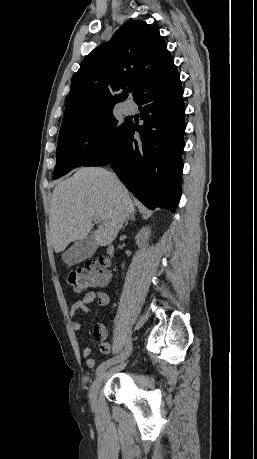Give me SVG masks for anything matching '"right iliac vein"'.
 Returning <instances> with one entry per match:
<instances>
[{
    "label": "right iliac vein",
    "mask_w": 257,
    "mask_h": 459,
    "mask_svg": "<svg viewBox=\"0 0 257 459\" xmlns=\"http://www.w3.org/2000/svg\"><path fill=\"white\" fill-rule=\"evenodd\" d=\"M104 377H105V372L100 373L95 378V380L93 381V383H92V385L90 387L89 400H90V403L92 405H95V403H96L97 394H98L99 388L102 385Z\"/></svg>",
    "instance_id": "obj_1"
}]
</instances>
